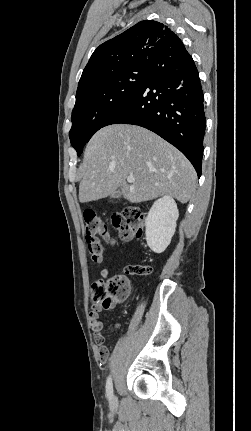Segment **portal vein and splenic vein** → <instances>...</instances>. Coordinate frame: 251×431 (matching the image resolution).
Listing matches in <instances>:
<instances>
[{
  "label": "portal vein and splenic vein",
  "instance_id": "1",
  "mask_svg": "<svg viewBox=\"0 0 251 431\" xmlns=\"http://www.w3.org/2000/svg\"><path fill=\"white\" fill-rule=\"evenodd\" d=\"M127 181L128 183H133L135 181V178L133 176H128Z\"/></svg>",
  "mask_w": 251,
  "mask_h": 431
}]
</instances>
